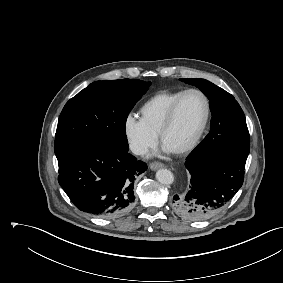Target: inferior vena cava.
I'll list each match as a JSON object with an SVG mask.
<instances>
[{
	"label": "inferior vena cava",
	"instance_id": "602c4592",
	"mask_svg": "<svg viewBox=\"0 0 283 283\" xmlns=\"http://www.w3.org/2000/svg\"><path fill=\"white\" fill-rule=\"evenodd\" d=\"M131 150L136 155H143L147 152V148L142 145H132Z\"/></svg>",
	"mask_w": 283,
	"mask_h": 283
}]
</instances>
